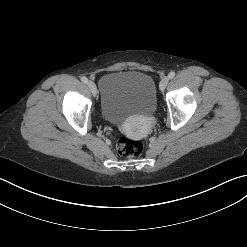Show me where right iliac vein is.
Listing matches in <instances>:
<instances>
[{
  "label": "right iliac vein",
  "mask_w": 247,
  "mask_h": 247,
  "mask_svg": "<svg viewBox=\"0 0 247 247\" xmlns=\"http://www.w3.org/2000/svg\"><path fill=\"white\" fill-rule=\"evenodd\" d=\"M88 86H89V88H90L92 94L95 96L96 93H97V88H96L95 83H94L93 81H89V82H88Z\"/></svg>",
  "instance_id": "1"
}]
</instances>
